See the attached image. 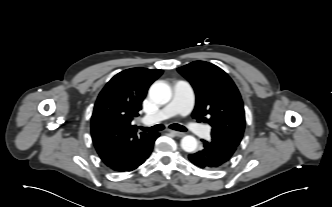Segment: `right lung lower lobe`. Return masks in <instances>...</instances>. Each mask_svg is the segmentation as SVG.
I'll return each mask as SVG.
<instances>
[{
  "mask_svg": "<svg viewBox=\"0 0 332 207\" xmlns=\"http://www.w3.org/2000/svg\"><path fill=\"white\" fill-rule=\"evenodd\" d=\"M158 136H159L158 133H153L150 136V138L147 140L146 145L143 148V151H141L133 159H131L123 164H117V165H112V166L107 165V166L117 172L132 171V170L136 169L139 165L143 164L145 162V160L149 157V155L152 152L154 142Z\"/></svg>",
  "mask_w": 332,
  "mask_h": 207,
  "instance_id": "1",
  "label": "right lung lower lobe"
}]
</instances>
